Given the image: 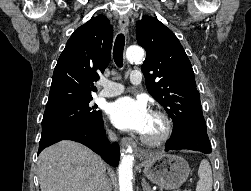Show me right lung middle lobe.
<instances>
[{
  "label": "right lung middle lobe",
  "instance_id": "1",
  "mask_svg": "<svg viewBox=\"0 0 251 191\" xmlns=\"http://www.w3.org/2000/svg\"><path fill=\"white\" fill-rule=\"evenodd\" d=\"M90 99L62 103L46 107L42 120V132L68 122H83L91 125L101 123L102 114Z\"/></svg>",
  "mask_w": 251,
  "mask_h": 191
}]
</instances>
